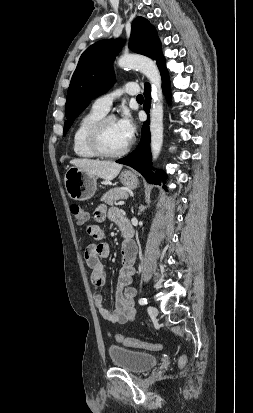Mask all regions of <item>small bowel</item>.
Instances as JSON below:
<instances>
[{"instance_id":"obj_1","label":"small bowel","mask_w":253,"mask_h":413,"mask_svg":"<svg viewBox=\"0 0 253 413\" xmlns=\"http://www.w3.org/2000/svg\"><path fill=\"white\" fill-rule=\"evenodd\" d=\"M106 218L116 222L120 228L122 223L126 221L118 210L108 209L104 204L99 205L94 211V221L96 223L87 226V233L98 242L86 247L84 257L91 269V282L94 288L93 296L99 313L109 323L126 324L133 321L137 315L135 306L136 289L132 287L137 249L133 242L127 243L124 241L122 244V266L116 285V307L113 311H110L105 306L103 295L99 291L106 282V271L102 259L109 256L110 248L103 241L104 233L98 223Z\"/></svg>"}]
</instances>
